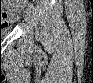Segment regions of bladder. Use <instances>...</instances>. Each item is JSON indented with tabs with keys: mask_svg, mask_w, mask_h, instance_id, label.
Listing matches in <instances>:
<instances>
[{
	"mask_svg": "<svg viewBox=\"0 0 93 83\" xmlns=\"http://www.w3.org/2000/svg\"><path fill=\"white\" fill-rule=\"evenodd\" d=\"M3 31H4V32H7V31H8V29H3Z\"/></svg>",
	"mask_w": 93,
	"mask_h": 83,
	"instance_id": "1",
	"label": "bladder"
}]
</instances>
